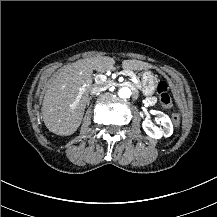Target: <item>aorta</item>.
Masks as SVG:
<instances>
[{
	"mask_svg": "<svg viewBox=\"0 0 217 217\" xmlns=\"http://www.w3.org/2000/svg\"><path fill=\"white\" fill-rule=\"evenodd\" d=\"M117 94L119 98L126 99L130 97L131 90L128 87H121Z\"/></svg>",
	"mask_w": 217,
	"mask_h": 217,
	"instance_id": "762f6f07",
	"label": "aorta"
}]
</instances>
